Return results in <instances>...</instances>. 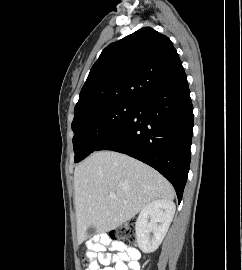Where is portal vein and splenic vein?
Here are the masks:
<instances>
[{"label": "portal vein and splenic vein", "instance_id": "1", "mask_svg": "<svg viewBox=\"0 0 242 270\" xmlns=\"http://www.w3.org/2000/svg\"><path fill=\"white\" fill-rule=\"evenodd\" d=\"M111 198L115 199V198H116V195H114V194H113V195H111Z\"/></svg>", "mask_w": 242, "mask_h": 270}]
</instances>
